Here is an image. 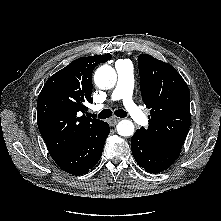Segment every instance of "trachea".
<instances>
[{
    "instance_id": "trachea-1",
    "label": "trachea",
    "mask_w": 221,
    "mask_h": 221,
    "mask_svg": "<svg viewBox=\"0 0 221 221\" xmlns=\"http://www.w3.org/2000/svg\"><path fill=\"white\" fill-rule=\"evenodd\" d=\"M114 114L117 116V117H120V118H124L127 116V112L122 110V109H118V110H115L114 111ZM90 116L92 117H95L97 115H94V114H90ZM112 116V111L110 109H104L102 110L98 117L101 118V119H105V118H109Z\"/></svg>"
}]
</instances>
